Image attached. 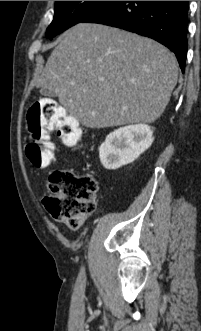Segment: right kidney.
<instances>
[{
    "label": "right kidney",
    "instance_id": "obj_1",
    "mask_svg": "<svg viewBox=\"0 0 201 331\" xmlns=\"http://www.w3.org/2000/svg\"><path fill=\"white\" fill-rule=\"evenodd\" d=\"M153 140V131L148 125L121 127L107 135L99 147L100 161L106 169H118L136 160Z\"/></svg>",
    "mask_w": 201,
    "mask_h": 331
}]
</instances>
